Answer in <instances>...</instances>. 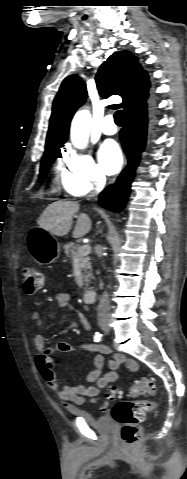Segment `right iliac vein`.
<instances>
[{
	"label": "right iliac vein",
	"mask_w": 187,
	"mask_h": 479,
	"mask_svg": "<svg viewBox=\"0 0 187 479\" xmlns=\"http://www.w3.org/2000/svg\"><path fill=\"white\" fill-rule=\"evenodd\" d=\"M100 328H101L104 332H109V331H110V327H109L108 322H101V323H100Z\"/></svg>",
	"instance_id": "1"
}]
</instances>
